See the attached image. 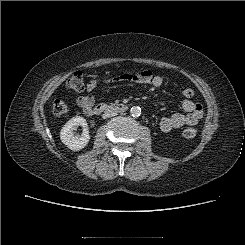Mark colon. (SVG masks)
Segmentation results:
<instances>
[{
	"instance_id": "1",
	"label": "colon",
	"mask_w": 245,
	"mask_h": 245,
	"mask_svg": "<svg viewBox=\"0 0 245 245\" xmlns=\"http://www.w3.org/2000/svg\"><path fill=\"white\" fill-rule=\"evenodd\" d=\"M67 88L73 91H82L84 89V76L81 72L73 73L66 82ZM194 92L190 88L182 90V95L185 98H191ZM68 111V105L61 99H56L52 105V112L56 116H62ZM197 131L194 128H186L183 130V136L187 139H192L196 136Z\"/></svg>"
}]
</instances>
